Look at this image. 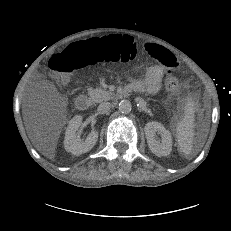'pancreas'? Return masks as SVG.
I'll list each match as a JSON object with an SVG mask.
<instances>
[{
  "instance_id": "cf45deb5",
  "label": "pancreas",
  "mask_w": 231,
  "mask_h": 231,
  "mask_svg": "<svg viewBox=\"0 0 231 231\" xmlns=\"http://www.w3.org/2000/svg\"><path fill=\"white\" fill-rule=\"evenodd\" d=\"M88 94H89L91 100L95 103L107 101L114 96V94L112 92L106 91V90L101 89V88H96V89L89 88Z\"/></svg>"
}]
</instances>
